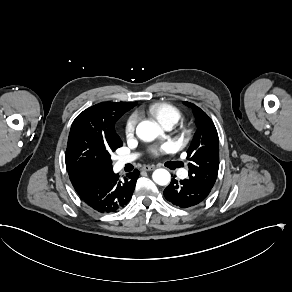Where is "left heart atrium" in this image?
I'll return each mask as SVG.
<instances>
[{
    "label": "left heart atrium",
    "mask_w": 292,
    "mask_h": 292,
    "mask_svg": "<svg viewBox=\"0 0 292 292\" xmlns=\"http://www.w3.org/2000/svg\"><path fill=\"white\" fill-rule=\"evenodd\" d=\"M172 149H173L172 144L166 142V143H163L162 145H160L159 147L153 148L151 150V154L153 156H159L160 154L171 152Z\"/></svg>",
    "instance_id": "left-heart-atrium-1"
}]
</instances>
